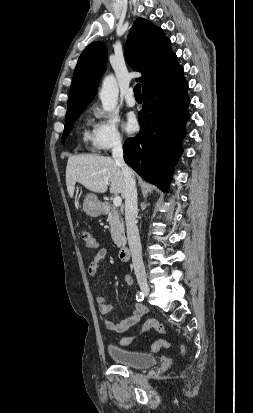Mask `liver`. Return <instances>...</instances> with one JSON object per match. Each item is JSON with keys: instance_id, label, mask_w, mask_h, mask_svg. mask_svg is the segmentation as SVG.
<instances>
[{"instance_id": "6515ba94", "label": "liver", "mask_w": 253, "mask_h": 413, "mask_svg": "<svg viewBox=\"0 0 253 413\" xmlns=\"http://www.w3.org/2000/svg\"><path fill=\"white\" fill-rule=\"evenodd\" d=\"M133 177L135 173L133 172ZM108 179V182H105ZM76 182L90 191L121 194L124 198L125 181L121 167L111 157L77 155L68 158L66 167V185L69 196L74 195Z\"/></svg>"}]
</instances>
